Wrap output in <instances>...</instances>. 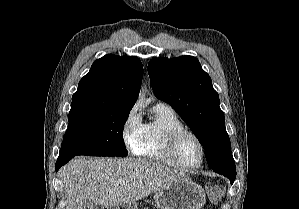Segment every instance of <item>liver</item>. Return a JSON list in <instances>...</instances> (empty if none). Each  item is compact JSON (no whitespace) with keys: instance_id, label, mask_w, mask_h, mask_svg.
Listing matches in <instances>:
<instances>
[{"instance_id":"1","label":"liver","mask_w":299,"mask_h":209,"mask_svg":"<svg viewBox=\"0 0 299 209\" xmlns=\"http://www.w3.org/2000/svg\"><path fill=\"white\" fill-rule=\"evenodd\" d=\"M65 186L66 209H82L85 200L96 205L119 207L133 204L158 188L186 178L151 160L76 157L60 173ZM122 180V184H117Z\"/></svg>"}]
</instances>
